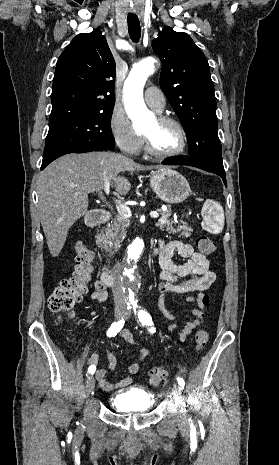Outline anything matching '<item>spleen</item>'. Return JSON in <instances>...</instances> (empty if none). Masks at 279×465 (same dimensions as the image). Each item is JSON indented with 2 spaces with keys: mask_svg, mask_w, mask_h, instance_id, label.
Instances as JSON below:
<instances>
[{
  "mask_svg": "<svg viewBox=\"0 0 279 465\" xmlns=\"http://www.w3.org/2000/svg\"><path fill=\"white\" fill-rule=\"evenodd\" d=\"M202 228L212 234H219L224 227V210L221 204L215 200L208 199L202 207Z\"/></svg>",
  "mask_w": 279,
  "mask_h": 465,
  "instance_id": "1",
  "label": "spleen"
}]
</instances>
